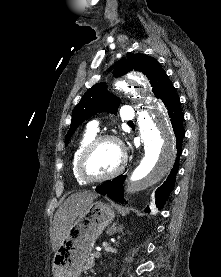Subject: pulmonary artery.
Wrapping results in <instances>:
<instances>
[{
  "label": "pulmonary artery",
  "instance_id": "obj_1",
  "mask_svg": "<svg viewBox=\"0 0 221 277\" xmlns=\"http://www.w3.org/2000/svg\"><path fill=\"white\" fill-rule=\"evenodd\" d=\"M121 118L126 121H132L135 117L134 111L130 106H123L120 111ZM88 130L97 132L99 130V122L94 120L88 124Z\"/></svg>",
  "mask_w": 221,
  "mask_h": 277
}]
</instances>
